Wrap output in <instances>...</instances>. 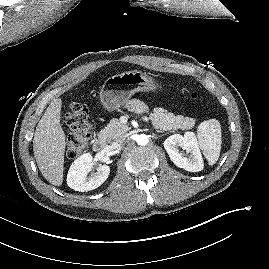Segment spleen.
<instances>
[{
	"label": "spleen",
	"instance_id": "spleen-1",
	"mask_svg": "<svg viewBox=\"0 0 269 269\" xmlns=\"http://www.w3.org/2000/svg\"><path fill=\"white\" fill-rule=\"evenodd\" d=\"M221 137V125L218 120L210 119L199 124L197 129L198 143L211 166L219 159Z\"/></svg>",
	"mask_w": 269,
	"mask_h": 269
}]
</instances>
